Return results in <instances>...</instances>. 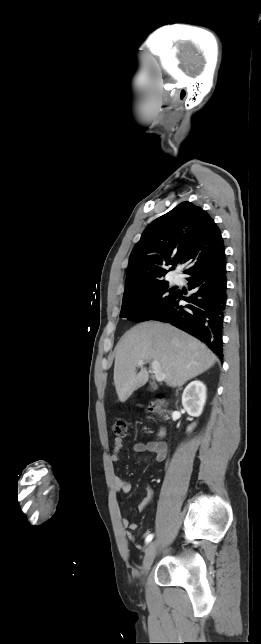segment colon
<instances>
[{"instance_id":"1","label":"colon","mask_w":261,"mask_h":644,"mask_svg":"<svg viewBox=\"0 0 261 644\" xmlns=\"http://www.w3.org/2000/svg\"><path fill=\"white\" fill-rule=\"evenodd\" d=\"M166 407V400L163 396H160L158 400L150 407L151 412L164 410ZM114 434L117 438H125L127 436V423L125 421L119 420L113 426Z\"/></svg>"}]
</instances>
